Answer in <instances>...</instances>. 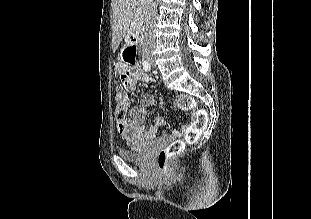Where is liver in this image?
Masks as SVG:
<instances>
[{
    "instance_id": "liver-1",
    "label": "liver",
    "mask_w": 311,
    "mask_h": 219,
    "mask_svg": "<svg viewBox=\"0 0 311 219\" xmlns=\"http://www.w3.org/2000/svg\"><path fill=\"white\" fill-rule=\"evenodd\" d=\"M138 0H112L113 29L112 46L115 51L129 31V26Z\"/></svg>"
}]
</instances>
